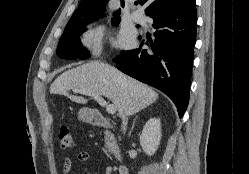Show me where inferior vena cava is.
I'll return each mask as SVG.
<instances>
[{
    "instance_id": "inferior-vena-cava-1",
    "label": "inferior vena cava",
    "mask_w": 249,
    "mask_h": 174,
    "mask_svg": "<svg viewBox=\"0 0 249 174\" xmlns=\"http://www.w3.org/2000/svg\"><path fill=\"white\" fill-rule=\"evenodd\" d=\"M121 118H122V130L125 132L126 129H127V123H128L127 114H126V113H123V114L121 115Z\"/></svg>"
}]
</instances>
